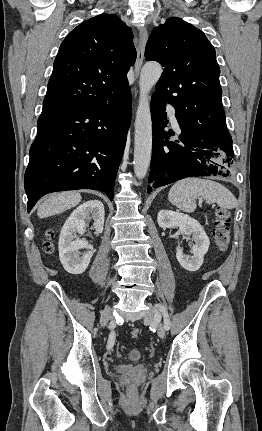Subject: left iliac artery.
Here are the masks:
<instances>
[{"label":"left iliac artery","instance_id":"left-iliac-artery-1","mask_svg":"<svg viewBox=\"0 0 262 431\" xmlns=\"http://www.w3.org/2000/svg\"><path fill=\"white\" fill-rule=\"evenodd\" d=\"M156 308L163 314V317H164V328L166 330H169L170 326H171V322H170L169 315H168V312H167L166 308L163 305H161V304H157Z\"/></svg>","mask_w":262,"mask_h":431}]
</instances>
